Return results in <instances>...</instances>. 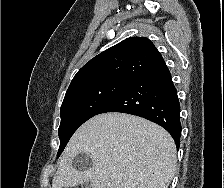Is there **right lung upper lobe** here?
<instances>
[{
  "mask_svg": "<svg viewBox=\"0 0 224 188\" xmlns=\"http://www.w3.org/2000/svg\"><path fill=\"white\" fill-rule=\"evenodd\" d=\"M162 61L161 54L148 38L131 37L87 62L70 86L111 77L134 79Z\"/></svg>",
  "mask_w": 224,
  "mask_h": 188,
  "instance_id": "right-lung-upper-lobe-1",
  "label": "right lung upper lobe"
}]
</instances>
